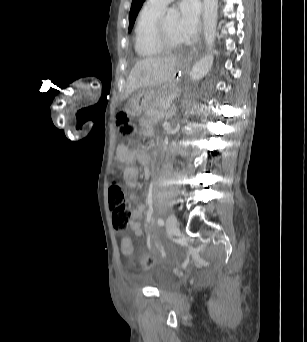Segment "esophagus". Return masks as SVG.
<instances>
[{
    "instance_id": "1",
    "label": "esophagus",
    "mask_w": 307,
    "mask_h": 342,
    "mask_svg": "<svg viewBox=\"0 0 307 342\" xmlns=\"http://www.w3.org/2000/svg\"><path fill=\"white\" fill-rule=\"evenodd\" d=\"M197 57H198V50L193 49V51L190 52L187 58L188 60H195Z\"/></svg>"
}]
</instances>
